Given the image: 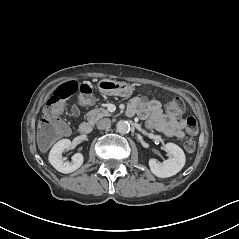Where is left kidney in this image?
<instances>
[{"instance_id":"1","label":"left kidney","mask_w":239,"mask_h":239,"mask_svg":"<svg viewBox=\"0 0 239 239\" xmlns=\"http://www.w3.org/2000/svg\"><path fill=\"white\" fill-rule=\"evenodd\" d=\"M165 151L173 155L172 159L165 160L162 163H158L154 160H150V171L159 178H168L176 175L180 172L185 165V154L183 150L173 143H167L165 145Z\"/></svg>"}]
</instances>
